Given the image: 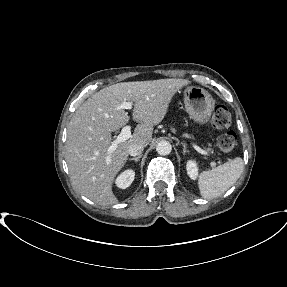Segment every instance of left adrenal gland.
Listing matches in <instances>:
<instances>
[{
  "label": "left adrenal gland",
  "instance_id": "a2214340",
  "mask_svg": "<svg viewBox=\"0 0 287 287\" xmlns=\"http://www.w3.org/2000/svg\"><path fill=\"white\" fill-rule=\"evenodd\" d=\"M182 145H183V154H186V153H188L189 151L186 149V146H185V144H184V143H182Z\"/></svg>",
  "mask_w": 287,
  "mask_h": 287
}]
</instances>
